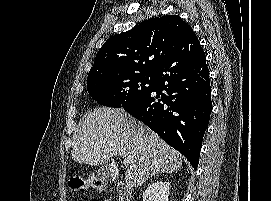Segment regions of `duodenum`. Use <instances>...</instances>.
I'll return each mask as SVG.
<instances>
[{"label":"duodenum","mask_w":271,"mask_h":201,"mask_svg":"<svg viewBox=\"0 0 271 201\" xmlns=\"http://www.w3.org/2000/svg\"><path fill=\"white\" fill-rule=\"evenodd\" d=\"M116 190H117V201H131L132 193L127 185L123 183H118L116 186Z\"/></svg>","instance_id":"obj_1"}]
</instances>
